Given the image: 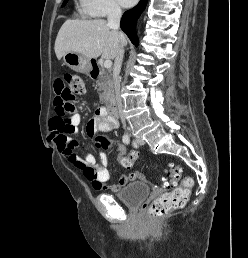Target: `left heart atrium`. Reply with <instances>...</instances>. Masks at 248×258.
Here are the masks:
<instances>
[{
  "instance_id": "obj_1",
  "label": "left heart atrium",
  "mask_w": 248,
  "mask_h": 258,
  "mask_svg": "<svg viewBox=\"0 0 248 258\" xmlns=\"http://www.w3.org/2000/svg\"><path fill=\"white\" fill-rule=\"evenodd\" d=\"M119 3L124 7H130L136 3L137 0H118Z\"/></svg>"
}]
</instances>
